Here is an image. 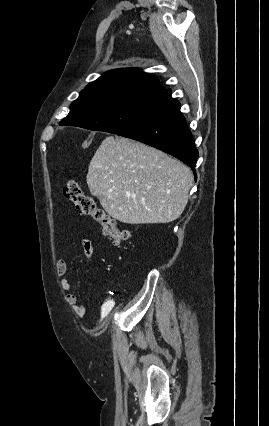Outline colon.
Returning <instances> with one entry per match:
<instances>
[{"label":"colon","mask_w":269,"mask_h":426,"mask_svg":"<svg viewBox=\"0 0 269 426\" xmlns=\"http://www.w3.org/2000/svg\"><path fill=\"white\" fill-rule=\"evenodd\" d=\"M64 197L72 202L79 210L80 214L91 218L99 224L103 235L118 244L129 238L127 230L119 228L116 221L101 209L96 200L84 194L78 182L70 180L64 187Z\"/></svg>","instance_id":"5ec220e1"}]
</instances>
